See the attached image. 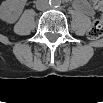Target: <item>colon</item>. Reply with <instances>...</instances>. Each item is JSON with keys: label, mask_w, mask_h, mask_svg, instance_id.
Returning <instances> with one entry per match:
<instances>
[{"label": "colon", "mask_w": 103, "mask_h": 103, "mask_svg": "<svg viewBox=\"0 0 103 103\" xmlns=\"http://www.w3.org/2000/svg\"><path fill=\"white\" fill-rule=\"evenodd\" d=\"M94 6L100 12L103 10V3L101 1H96L94 3ZM102 34H103V20L102 17H100L94 20L93 23L91 24V27L88 31V38L91 40H97L102 36Z\"/></svg>", "instance_id": "5ec220e1"}]
</instances>
